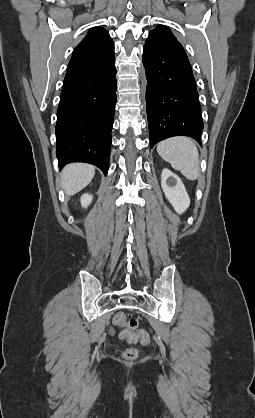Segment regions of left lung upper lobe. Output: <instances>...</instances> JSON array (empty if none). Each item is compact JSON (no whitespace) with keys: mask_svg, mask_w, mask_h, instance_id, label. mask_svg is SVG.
<instances>
[{"mask_svg":"<svg viewBox=\"0 0 255 418\" xmlns=\"http://www.w3.org/2000/svg\"><path fill=\"white\" fill-rule=\"evenodd\" d=\"M147 40L160 45H171L179 43L177 38L172 34L171 30L164 26L156 27L150 31Z\"/></svg>","mask_w":255,"mask_h":418,"instance_id":"left-lung-upper-lobe-1","label":"left lung upper lobe"}]
</instances>
